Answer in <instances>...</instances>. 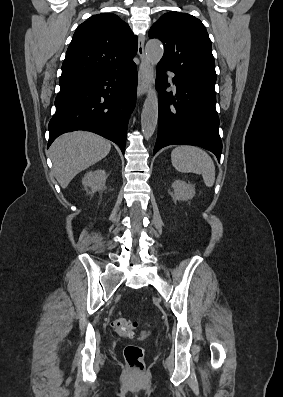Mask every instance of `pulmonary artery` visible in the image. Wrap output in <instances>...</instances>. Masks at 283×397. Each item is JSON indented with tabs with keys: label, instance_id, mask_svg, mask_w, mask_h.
Segmentation results:
<instances>
[{
	"label": "pulmonary artery",
	"instance_id": "e3ab8cb5",
	"mask_svg": "<svg viewBox=\"0 0 283 397\" xmlns=\"http://www.w3.org/2000/svg\"><path fill=\"white\" fill-rule=\"evenodd\" d=\"M169 74H170V77H171V78H173L174 74H173V73H171V72H170Z\"/></svg>",
	"mask_w": 283,
	"mask_h": 397
}]
</instances>
